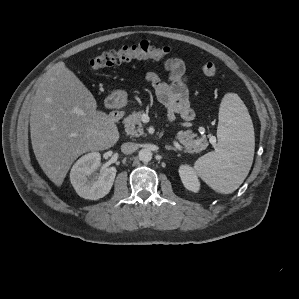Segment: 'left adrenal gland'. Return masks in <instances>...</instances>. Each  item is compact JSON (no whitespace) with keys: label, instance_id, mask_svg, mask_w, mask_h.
Masks as SVG:
<instances>
[{"label":"left adrenal gland","instance_id":"1","mask_svg":"<svg viewBox=\"0 0 299 299\" xmlns=\"http://www.w3.org/2000/svg\"><path fill=\"white\" fill-rule=\"evenodd\" d=\"M166 150H173V151H176V149L174 147H171V146H165Z\"/></svg>","mask_w":299,"mask_h":299}]
</instances>
